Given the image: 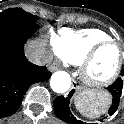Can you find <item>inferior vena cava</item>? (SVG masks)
I'll return each instance as SVG.
<instances>
[{
  "label": "inferior vena cava",
  "instance_id": "1",
  "mask_svg": "<svg viewBox=\"0 0 124 124\" xmlns=\"http://www.w3.org/2000/svg\"><path fill=\"white\" fill-rule=\"evenodd\" d=\"M28 59L36 65H42L45 63L46 57L40 52H32L28 54Z\"/></svg>",
  "mask_w": 124,
  "mask_h": 124
}]
</instances>
